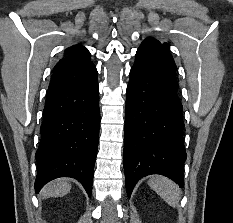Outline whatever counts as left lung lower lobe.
I'll use <instances>...</instances> for the list:
<instances>
[{"label":"left lung lower lobe","mask_w":233,"mask_h":223,"mask_svg":"<svg viewBox=\"0 0 233 223\" xmlns=\"http://www.w3.org/2000/svg\"><path fill=\"white\" fill-rule=\"evenodd\" d=\"M169 48L145 39L127 87L124 170L128 197L144 176L161 174L184 186L183 106Z\"/></svg>","instance_id":"0a47b994"}]
</instances>
